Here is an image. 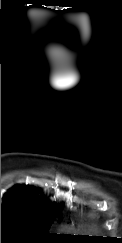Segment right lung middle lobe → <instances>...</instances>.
<instances>
[{"label": "right lung middle lobe", "instance_id": "obj_1", "mask_svg": "<svg viewBox=\"0 0 122 243\" xmlns=\"http://www.w3.org/2000/svg\"><path fill=\"white\" fill-rule=\"evenodd\" d=\"M56 208H38L20 201H3L1 233L23 234L34 239L47 237Z\"/></svg>", "mask_w": 122, "mask_h": 243}]
</instances>
